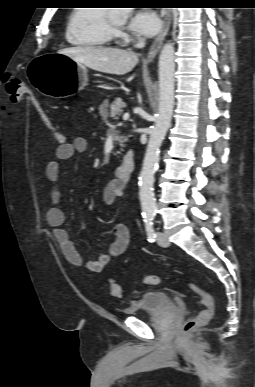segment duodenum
Returning a JSON list of instances; mask_svg holds the SVG:
<instances>
[{"mask_svg": "<svg viewBox=\"0 0 255 387\" xmlns=\"http://www.w3.org/2000/svg\"><path fill=\"white\" fill-rule=\"evenodd\" d=\"M135 170V155L132 150L128 151L122 163L116 168L117 177L123 181L128 182Z\"/></svg>", "mask_w": 255, "mask_h": 387, "instance_id": "obj_1", "label": "duodenum"}]
</instances>
